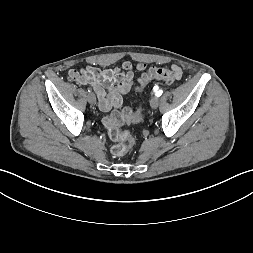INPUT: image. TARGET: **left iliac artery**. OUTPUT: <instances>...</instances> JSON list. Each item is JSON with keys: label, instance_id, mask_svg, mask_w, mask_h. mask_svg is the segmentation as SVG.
<instances>
[{"label": "left iliac artery", "instance_id": "obj_1", "mask_svg": "<svg viewBox=\"0 0 253 253\" xmlns=\"http://www.w3.org/2000/svg\"><path fill=\"white\" fill-rule=\"evenodd\" d=\"M154 91L156 92L155 94H156V96H161L162 95V93H163V91L162 90H158V88L157 87H155L154 88Z\"/></svg>", "mask_w": 253, "mask_h": 253}]
</instances>
